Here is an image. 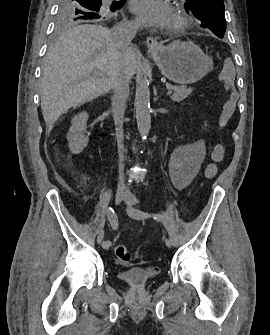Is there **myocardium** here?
<instances>
[{"mask_svg":"<svg viewBox=\"0 0 270 335\" xmlns=\"http://www.w3.org/2000/svg\"><path fill=\"white\" fill-rule=\"evenodd\" d=\"M186 24H187V19L181 13H179L177 15V26H178V28H183Z\"/></svg>","mask_w":270,"mask_h":335,"instance_id":"1","label":"myocardium"}]
</instances>
